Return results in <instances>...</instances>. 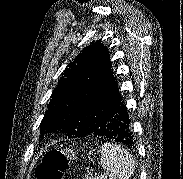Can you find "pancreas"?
Instances as JSON below:
<instances>
[{
    "label": "pancreas",
    "mask_w": 183,
    "mask_h": 179,
    "mask_svg": "<svg viewBox=\"0 0 183 179\" xmlns=\"http://www.w3.org/2000/svg\"><path fill=\"white\" fill-rule=\"evenodd\" d=\"M85 179H107L105 175H92V174H86Z\"/></svg>",
    "instance_id": "1"
}]
</instances>
